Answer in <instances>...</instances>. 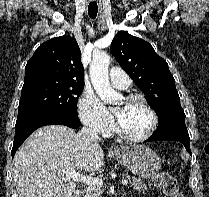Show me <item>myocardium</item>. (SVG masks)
I'll use <instances>...</instances> for the list:
<instances>
[{"mask_svg": "<svg viewBox=\"0 0 209 197\" xmlns=\"http://www.w3.org/2000/svg\"><path fill=\"white\" fill-rule=\"evenodd\" d=\"M129 102H140L149 112L151 116V124L148 130L140 136H131L127 134L120 126L119 121L116 117V132L117 134L127 142L139 143L148 140L155 132L158 126V115L155 109L149 104L145 97L139 94H131L126 97Z\"/></svg>", "mask_w": 209, "mask_h": 197, "instance_id": "f54148a6", "label": "myocardium"}]
</instances>
